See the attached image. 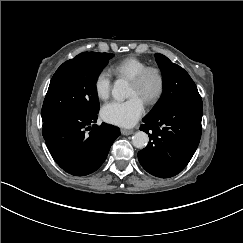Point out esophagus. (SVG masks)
Listing matches in <instances>:
<instances>
[{"mask_svg":"<svg viewBox=\"0 0 243 243\" xmlns=\"http://www.w3.org/2000/svg\"><path fill=\"white\" fill-rule=\"evenodd\" d=\"M121 134L128 136V135L133 134V131L132 130H127V129H121Z\"/></svg>","mask_w":243,"mask_h":243,"instance_id":"34e87169","label":"esophagus"}]
</instances>
